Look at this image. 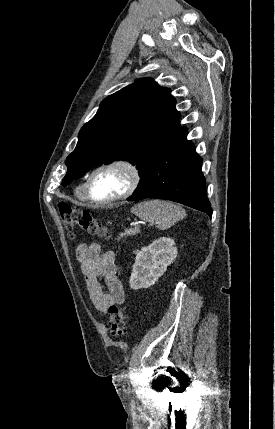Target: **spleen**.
<instances>
[{
	"label": "spleen",
	"mask_w": 275,
	"mask_h": 429,
	"mask_svg": "<svg viewBox=\"0 0 275 429\" xmlns=\"http://www.w3.org/2000/svg\"><path fill=\"white\" fill-rule=\"evenodd\" d=\"M131 212L147 222H155L157 228L166 230L186 217L180 206L163 200H148L132 207Z\"/></svg>",
	"instance_id": "1"
}]
</instances>
